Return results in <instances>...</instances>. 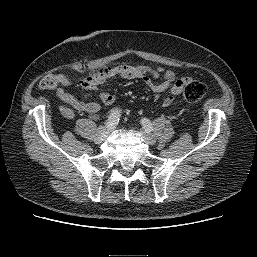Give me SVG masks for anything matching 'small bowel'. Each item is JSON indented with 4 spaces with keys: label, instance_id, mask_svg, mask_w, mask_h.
<instances>
[{
    "label": "small bowel",
    "instance_id": "1",
    "mask_svg": "<svg viewBox=\"0 0 257 257\" xmlns=\"http://www.w3.org/2000/svg\"><path fill=\"white\" fill-rule=\"evenodd\" d=\"M116 77L130 80L139 79L143 81L153 90L155 101L159 100L162 93L170 91L171 95L165 97L163 100L164 106H170L174 101V96L179 95L183 91L185 84L191 80L188 76L177 77L173 71L165 70L161 67L124 64L108 68L107 73L104 75L94 78L91 81H82L80 85L84 89L92 90ZM54 78L56 83L59 84V87L55 91L56 96L61 102L69 106L61 107V111L65 117L73 118L74 110L89 115H94L100 110V103L95 101L85 102L68 91L72 82L67 76L56 74ZM159 78L161 81L157 83L156 80ZM99 97L101 102L105 105L113 104L116 99V96L109 91L101 92Z\"/></svg>",
    "mask_w": 257,
    "mask_h": 257
}]
</instances>
